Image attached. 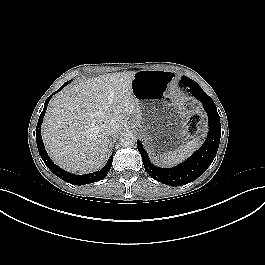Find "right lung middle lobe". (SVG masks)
<instances>
[{
    "label": "right lung middle lobe",
    "instance_id": "obj_1",
    "mask_svg": "<svg viewBox=\"0 0 265 265\" xmlns=\"http://www.w3.org/2000/svg\"><path fill=\"white\" fill-rule=\"evenodd\" d=\"M70 83V81H67V84H69Z\"/></svg>",
    "mask_w": 265,
    "mask_h": 265
}]
</instances>
